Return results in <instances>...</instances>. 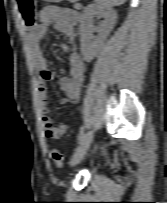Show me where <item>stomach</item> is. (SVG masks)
Wrapping results in <instances>:
<instances>
[{"instance_id":"stomach-1","label":"stomach","mask_w":167,"mask_h":203,"mask_svg":"<svg viewBox=\"0 0 167 203\" xmlns=\"http://www.w3.org/2000/svg\"><path fill=\"white\" fill-rule=\"evenodd\" d=\"M45 2H53V3H59L62 2L63 0H43Z\"/></svg>"}]
</instances>
